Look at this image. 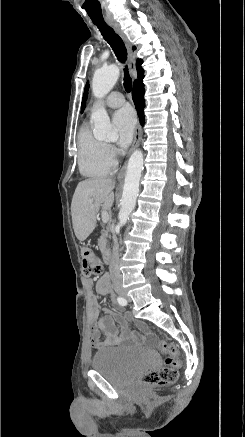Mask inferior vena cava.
Instances as JSON below:
<instances>
[{
	"label": "inferior vena cava",
	"mask_w": 245,
	"mask_h": 437,
	"mask_svg": "<svg viewBox=\"0 0 245 437\" xmlns=\"http://www.w3.org/2000/svg\"><path fill=\"white\" fill-rule=\"evenodd\" d=\"M114 247L110 257L109 271L114 286L121 285L122 276L119 270V245L117 237L113 236Z\"/></svg>",
	"instance_id": "obj_1"
}]
</instances>
